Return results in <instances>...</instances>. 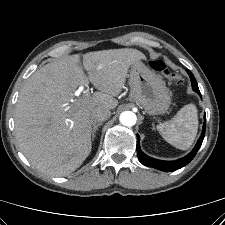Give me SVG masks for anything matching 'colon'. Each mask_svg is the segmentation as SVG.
Wrapping results in <instances>:
<instances>
[{
    "mask_svg": "<svg viewBox=\"0 0 225 225\" xmlns=\"http://www.w3.org/2000/svg\"><path fill=\"white\" fill-rule=\"evenodd\" d=\"M150 64H151V67L154 70L165 74L174 83L181 84L183 82L182 77L179 74L171 72L170 70H168L163 61L154 60V61H151Z\"/></svg>",
    "mask_w": 225,
    "mask_h": 225,
    "instance_id": "colon-1",
    "label": "colon"
}]
</instances>
